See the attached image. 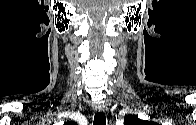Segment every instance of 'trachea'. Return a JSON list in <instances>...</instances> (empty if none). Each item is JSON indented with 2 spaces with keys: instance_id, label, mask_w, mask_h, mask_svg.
Returning a JSON list of instances; mask_svg holds the SVG:
<instances>
[{
  "instance_id": "obj_1",
  "label": "trachea",
  "mask_w": 196,
  "mask_h": 125,
  "mask_svg": "<svg viewBox=\"0 0 196 125\" xmlns=\"http://www.w3.org/2000/svg\"><path fill=\"white\" fill-rule=\"evenodd\" d=\"M94 125H106V117L103 113H96L94 116Z\"/></svg>"
}]
</instances>
